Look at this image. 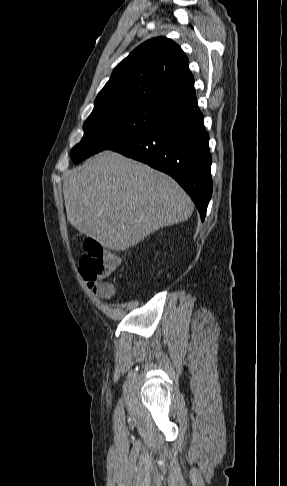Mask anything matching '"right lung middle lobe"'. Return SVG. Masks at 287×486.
<instances>
[{"label":"right lung middle lobe","instance_id":"1","mask_svg":"<svg viewBox=\"0 0 287 486\" xmlns=\"http://www.w3.org/2000/svg\"><path fill=\"white\" fill-rule=\"evenodd\" d=\"M169 110L145 102H131L94 107L84 123V136L71 151L77 164L105 149L122 145L135 138Z\"/></svg>","mask_w":287,"mask_h":486}]
</instances>
